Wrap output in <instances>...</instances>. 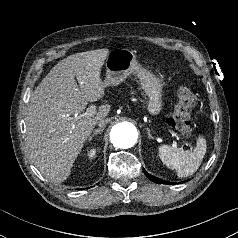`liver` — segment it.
Returning a JSON list of instances; mask_svg holds the SVG:
<instances>
[{"instance_id":"obj_1","label":"liver","mask_w":238,"mask_h":238,"mask_svg":"<svg viewBox=\"0 0 238 238\" xmlns=\"http://www.w3.org/2000/svg\"><path fill=\"white\" fill-rule=\"evenodd\" d=\"M108 54V49H97L68 56L50 70L31 95L26 144L35 166L52 182L68 178L97 121L110 112L109 105H102L94 115L84 113L88 101L105 95L100 74Z\"/></svg>"}]
</instances>
